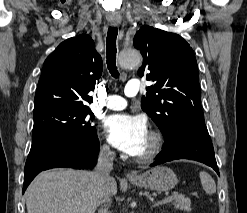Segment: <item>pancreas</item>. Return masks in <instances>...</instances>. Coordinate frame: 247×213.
<instances>
[{
  "instance_id": "1",
  "label": "pancreas",
  "mask_w": 247,
  "mask_h": 213,
  "mask_svg": "<svg viewBox=\"0 0 247 213\" xmlns=\"http://www.w3.org/2000/svg\"><path fill=\"white\" fill-rule=\"evenodd\" d=\"M146 196H149L148 193H145ZM176 209L189 211L191 209V201L189 198L185 197L183 194H175L174 198L169 201Z\"/></svg>"
}]
</instances>
